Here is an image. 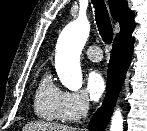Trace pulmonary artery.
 I'll return each instance as SVG.
<instances>
[{
    "mask_svg": "<svg viewBox=\"0 0 147 131\" xmlns=\"http://www.w3.org/2000/svg\"><path fill=\"white\" fill-rule=\"evenodd\" d=\"M86 56L90 60H92L94 62H98L102 59V51L98 46H90L86 50Z\"/></svg>",
    "mask_w": 147,
    "mask_h": 131,
    "instance_id": "1",
    "label": "pulmonary artery"
}]
</instances>
